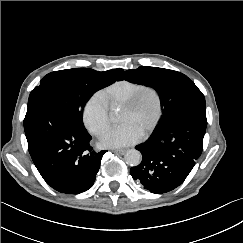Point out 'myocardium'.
Instances as JSON below:
<instances>
[{
    "label": "myocardium",
    "mask_w": 243,
    "mask_h": 243,
    "mask_svg": "<svg viewBox=\"0 0 243 243\" xmlns=\"http://www.w3.org/2000/svg\"><path fill=\"white\" fill-rule=\"evenodd\" d=\"M147 91L152 92L157 99V113H156L155 119H154L153 123L151 124V126L143 133L144 136L150 135L157 128V126L162 118L163 110H164V103H163V97H162L161 92L158 90V88H156L153 85L143 84L123 104V109H126V110L136 109L142 98V95Z\"/></svg>",
    "instance_id": "f54148a6"
}]
</instances>
